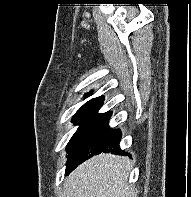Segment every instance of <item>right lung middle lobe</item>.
<instances>
[{"mask_svg":"<svg viewBox=\"0 0 191 197\" xmlns=\"http://www.w3.org/2000/svg\"><path fill=\"white\" fill-rule=\"evenodd\" d=\"M91 113V110H81V111H78L73 119H72V122L75 124V125H79V128L77 130V132L72 136V138L70 139L68 145H67V152H68V159L70 158L71 156V150H72V147L77 139V136H78V133L81 129V127L83 126L84 124V121L86 120V118L90 115Z\"/></svg>","mask_w":191,"mask_h":197,"instance_id":"right-lung-middle-lobe-1","label":"right lung middle lobe"}]
</instances>
